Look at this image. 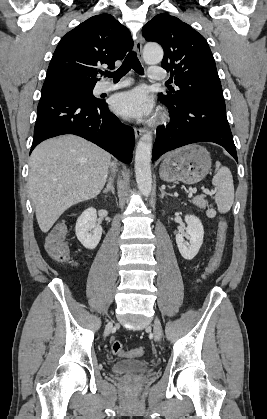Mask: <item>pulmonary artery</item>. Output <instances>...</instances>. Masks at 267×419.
<instances>
[{"instance_id": "1", "label": "pulmonary artery", "mask_w": 267, "mask_h": 419, "mask_svg": "<svg viewBox=\"0 0 267 419\" xmlns=\"http://www.w3.org/2000/svg\"><path fill=\"white\" fill-rule=\"evenodd\" d=\"M148 76L152 80H162V79L166 78V73L163 69H161L159 67H150ZM129 83H130V81H128V80H123V81H120V82H117V83L102 82L98 86V91L103 93V92L116 90V89H119L123 86L128 85Z\"/></svg>"}]
</instances>
